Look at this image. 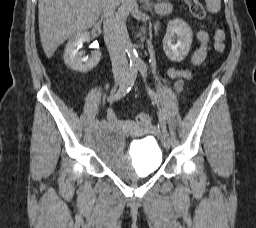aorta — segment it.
<instances>
[{
    "instance_id": "obj_1",
    "label": "aorta",
    "mask_w": 256,
    "mask_h": 228,
    "mask_svg": "<svg viewBox=\"0 0 256 228\" xmlns=\"http://www.w3.org/2000/svg\"><path fill=\"white\" fill-rule=\"evenodd\" d=\"M137 0H122L121 6L118 9L116 14V20L118 24V33L121 40L122 45L124 46L131 65H138L141 60L138 57V54L133 47L127 28H126V20L132 10L136 7Z\"/></svg>"
}]
</instances>
